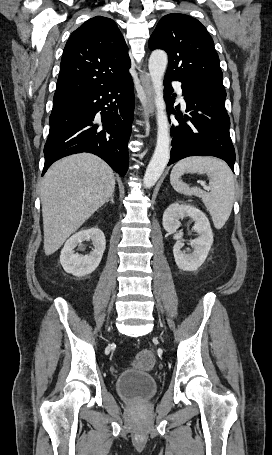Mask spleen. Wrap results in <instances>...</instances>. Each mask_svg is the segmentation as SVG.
<instances>
[{
	"label": "spleen",
	"instance_id": "obj_1",
	"mask_svg": "<svg viewBox=\"0 0 272 455\" xmlns=\"http://www.w3.org/2000/svg\"><path fill=\"white\" fill-rule=\"evenodd\" d=\"M185 172L206 174L209 178L210 192L198 187H190L182 182L181 176ZM170 183L174 190L181 194L201 198L212 217L215 228L220 229L224 226L231 214L235 194L233 174L225 162L213 157L185 158L173 167Z\"/></svg>",
	"mask_w": 272,
	"mask_h": 455
}]
</instances>
